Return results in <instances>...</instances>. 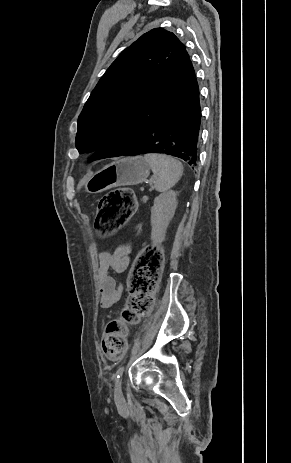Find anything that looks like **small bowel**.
<instances>
[{"label": "small bowel", "mask_w": 291, "mask_h": 463, "mask_svg": "<svg viewBox=\"0 0 291 463\" xmlns=\"http://www.w3.org/2000/svg\"><path fill=\"white\" fill-rule=\"evenodd\" d=\"M131 248L123 244L113 252H101L98 256L96 283L100 294V307L107 309L121 301L124 295V285L110 275V270L123 273L129 266Z\"/></svg>", "instance_id": "obj_1"}]
</instances>
